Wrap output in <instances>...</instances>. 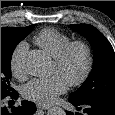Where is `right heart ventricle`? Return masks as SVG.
Wrapping results in <instances>:
<instances>
[{
    "instance_id": "e07e8e85",
    "label": "right heart ventricle",
    "mask_w": 115,
    "mask_h": 115,
    "mask_svg": "<svg viewBox=\"0 0 115 115\" xmlns=\"http://www.w3.org/2000/svg\"><path fill=\"white\" fill-rule=\"evenodd\" d=\"M34 41L50 57L56 59L72 40L68 35L54 28H47L39 32Z\"/></svg>"
}]
</instances>
